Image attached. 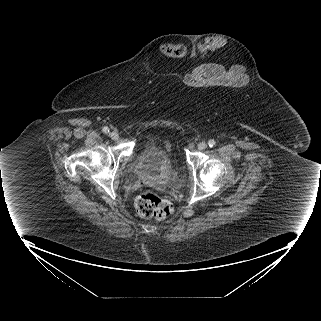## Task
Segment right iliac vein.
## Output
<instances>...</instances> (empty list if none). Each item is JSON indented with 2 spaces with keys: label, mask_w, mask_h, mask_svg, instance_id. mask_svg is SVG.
Masks as SVG:
<instances>
[{
  "label": "right iliac vein",
  "mask_w": 321,
  "mask_h": 321,
  "mask_svg": "<svg viewBox=\"0 0 321 321\" xmlns=\"http://www.w3.org/2000/svg\"><path fill=\"white\" fill-rule=\"evenodd\" d=\"M110 137L113 139V140H117L119 138V135L116 131H112L110 132Z\"/></svg>",
  "instance_id": "1"
}]
</instances>
